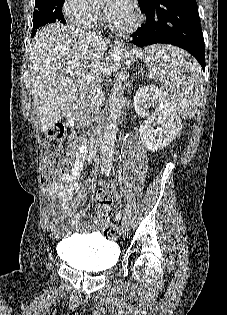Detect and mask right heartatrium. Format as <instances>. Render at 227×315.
<instances>
[{
  "mask_svg": "<svg viewBox=\"0 0 227 315\" xmlns=\"http://www.w3.org/2000/svg\"><path fill=\"white\" fill-rule=\"evenodd\" d=\"M62 13L71 24L84 29L96 27L101 20L100 12L88 0H64Z\"/></svg>",
  "mask_w": 227,
  "mask_h": 315,
  "instance_id": "obj_1",
  "label": "right heart atrium"
}]
</instances>
